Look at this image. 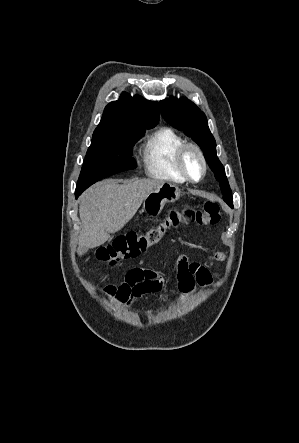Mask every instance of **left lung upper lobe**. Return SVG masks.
Listing matches in <instances>:
<instances>
[{
	"mask_svg": "<svg viewBox=\"0 0 299 443\" xmlns=\"http://www.w3.org/2000/svg\"><path fill=\"white\" fill-rule=\"evenodd\" d=\"M160 111L170 125L184 131L201 147L209 167L220 183L224 201L229 206L233 205L232 191L223 165L216 155V142L209 130L205 114L190 100L174 97L161 101Z\"/></svg>",
	"mask_w": 299,
	"mask_h": 443,
	"instance_id": "1",
	"label": "left lung upper lobe"
}]
</instances>
